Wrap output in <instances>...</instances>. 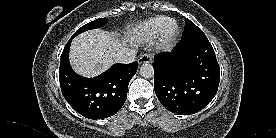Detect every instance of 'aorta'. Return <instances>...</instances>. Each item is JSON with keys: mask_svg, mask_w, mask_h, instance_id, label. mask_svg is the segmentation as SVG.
<instances>
[{"mask_svg": "<svg viewBox=\"0 0 276 138\" xmlns=\"http://www.w3.org/2000/svg\"><path fill=\"white\" fill-rule=\"evenodd\" d=\"M140 75L146 79L153 77L154 76L153 66L149 63L142 64V66L140 67Z\"/></svg>", "mask_w": 276, "mask_h": 138, "instance_id": "obj_1", "label": "aorta"}]
</instances>
